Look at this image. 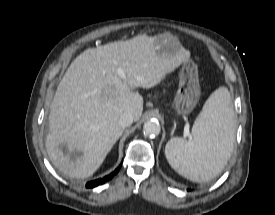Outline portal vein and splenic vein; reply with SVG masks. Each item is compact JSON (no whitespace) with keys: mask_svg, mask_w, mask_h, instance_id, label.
Segmentation results:
<instances>
[{"mask_svg":"<svg viewBox=\"0 0 275 215\" xmlns=\"http://www.w3.org/2000/svg\"><path fill=\"white\" fill-rule=\"evenodd\" d=\"M118 74H119L120 76H124V73H123L121 70L118 71ZM184 135H185V136H188V137L191 136V135H190V132H189V127H188V126H186L185 129H184Z\"/></svg>","mask_w":275,"mask_h":215,"instance_id":"obj_1","label":"portal vein and splenic vein"}]
</instances>
